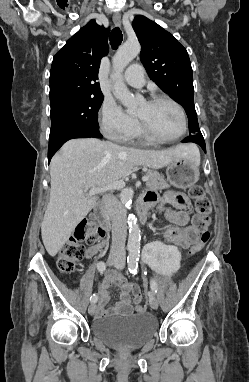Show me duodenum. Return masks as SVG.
<instances>
[{
  "instance_id": "duodenum-1",
  "label": "duodenum",
  "mask_w": 249,
  "mask_h": 382,
  "mask_svg": "<svg viewBox=\"0 0 249 382\" xmlns=\"http://www.w3.org/2000/svg\"><path fill=\"white\" fill-rule=\"evenodd\" d=\"M149 205L144 201H140L137 204V212L141 222H146L148 218ZM94 216L102 227V233L105 234L109 227V221L106 217L103 205L101 203L96 204L94 207Z\"/></svg>"
}]
</instances>
